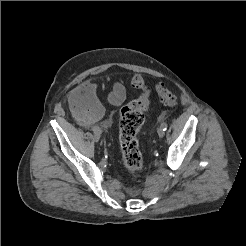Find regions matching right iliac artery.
<instances>
[{
    "mask_svg": "<svg viewBox=\"0 0 246 246\" xmlns=\"http://www.w3.org/2000/svg\"><path fill=\"white\" fill-rule=\"evenodd\" d=\"M92 131H93L94 133H100V134H101V130H100L99 127L94 126V127L92 128Z\"/></svg>",
    "mask_w": 246,
    "mask_h": 246,
    "instance_id": "obj_1",
    "label": "right iliac artery"
}]
</instances>
